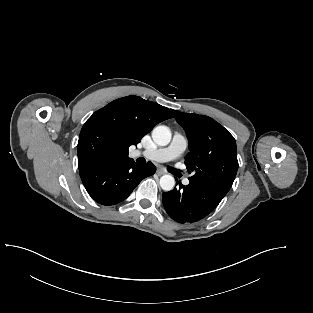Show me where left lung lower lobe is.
<instances>
[{"label":"left lung lower lobe","instance_id":"1","mask_svg":"<svg viewBox=\"0 0 313 313\" xmlns=\"http://www.w3.org/2000/svg\"><path fill=\"white\" fill-rule=\"evenodd\" d=\"M178 184V183H177ZM226 195L209 185L190 183L162 194L163 205L168 215L179 223H193L211 213Z\"/></svg>","mask_w":313,"mask_h":313}]
</instances>
